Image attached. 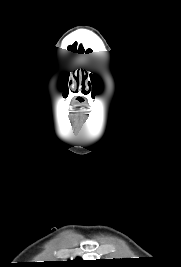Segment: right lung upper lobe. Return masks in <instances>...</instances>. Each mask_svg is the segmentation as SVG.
I'll use <instances>...</instances> for the list:
<instances>
[{
    "label": "right lung upper lobe",
    "instance_id": "1",
    "mask_svg": "<svg viewBox=\"0 0 181 267\" xmlns=\"http://www.w3.org/2000/svg\"><path fill=\"white\" fill-rule=\"evenodd\" d=\"M82 261V259H80V258H77V259H75V262H77V263H80ZM69 261H67V263H68Z\"/></svg>",
    "mask_w": 181,
    "mask_h": 267
}]
</instances>
